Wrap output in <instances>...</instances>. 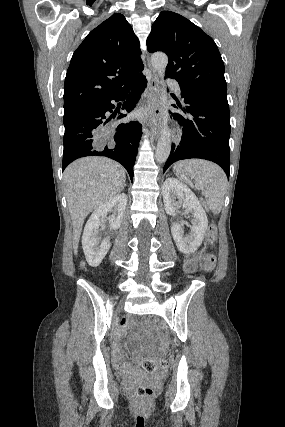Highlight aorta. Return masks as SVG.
Segmentation results:
<instances>
[{
	"mask_svg": "<svg viewBox=\"0 0 285 427\" xmlns=\"http://www.w3.org/2000/svg\"><path fill=\"white\" fill-rule=\"evenodd\" d=\"M151 64L153 69L157 72L160 78V100L162 102L161 116H162V127L160 137L156 147L155 158L158 163H164L167 161L171 151V132L168 128L169 112L167 108V90L163 83L165 70L168 64V58L164 53H154L151 56Z\"/></svg>",
	"mask_w": 285,
	"mask_h": 427,
	"instance_id": "1",
	"label": "aorta"
}]
</instances>
